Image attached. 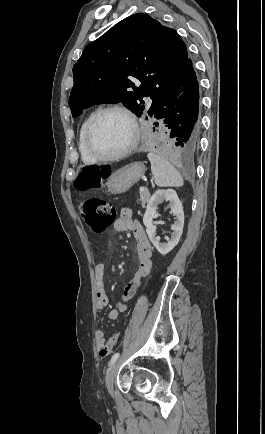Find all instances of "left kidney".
I'll use <instances>...</instances> for the list:
<instances>
[{"label":"left kidney","instance_id":"5707ae66","mask_svg":"<svg viewBox=\"0 0 265 434\" xmlns=\"http://www.w3.org/2000/svg\"><path fill=\"white\" fill-rule=\"evenodd\" d=\"M170 202V208H172L170 214H173L176 218V222H174L173 226H171V230H174L171 240H167V244H161L159 240L156 238V226L153 224V218H155L157 206L159 202ZM144 226H146V232L148 234V238L150 242H152L153 246H155L156 250L160 252V254H168L171 252L175 246H177L183 232L184 226V212L182 208V204L175 192V190H157L153 196H151L148 204L147 210L144 214L143 218Z\"/></svg>","mask_w":265,"mask_h":434}]
</instances>
